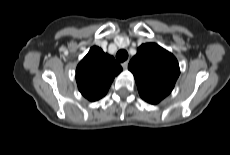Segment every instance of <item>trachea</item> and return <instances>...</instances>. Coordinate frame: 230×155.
<instances>
[{
  "instance_id": "3493384b",
  "label": "trachea",
  "mask_w": 230,
  "mask_h": 155,
  "mask_svg": "<svg viewBox=\"0 0 230 155\" xmlns=\"http://www.w3.org/2000/svg\"><path fill=\"white\" fill-rule=\"evenodd\" d=\"M128 58V52L126 50H119L116 54V59L119 62H124Z\"/></svg>"
}]
</instances>
